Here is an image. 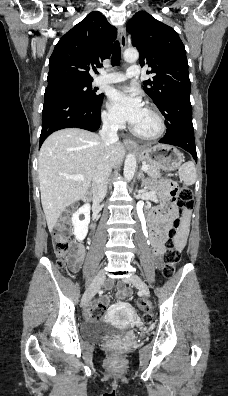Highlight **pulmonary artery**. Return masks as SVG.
<instances>
[{
  "instance_id": "obj_1",
  "label": "pulmonary artery",
  "mask_w": 228,
  "mask_h": 396,
  "mask_svg": "<svg viewBox=\"0 0 228 396\" xmlns=\"http://www.w3.org/2000/svg\"><path fill=\"white\" fill-rule=\"evenodd\" d=\"M140 74V69L137 65H132L128 68L126 73H112V74H102L96 78L95 84H110L123 82L128 78L138 77Z\"/></svg>"
}]
</instances>
